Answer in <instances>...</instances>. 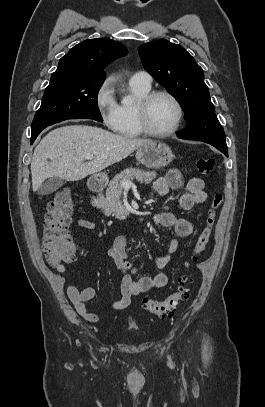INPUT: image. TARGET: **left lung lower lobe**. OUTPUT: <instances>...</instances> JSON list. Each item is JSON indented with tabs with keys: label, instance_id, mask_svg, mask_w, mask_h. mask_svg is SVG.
I'll list each match as a JSON object with an SVG mask.
<instances>
[{
	"label": "left lung lower lobe",
	"instance_id": "0a47b994",
	"mask_svg": "<svg viewBox=\"0 0 265 407\" xmlns=\"http://www.w3.org/2000/svg\"><path fill=\"white\" fill-rule=\"evenodd\" d=\"M218 150H220L221 152H223L226 156H228V151L226 152L225 150H223L222 148H220V147H216Z\"/></svg>",
	"mask_w": 265,
	"mask_h": 407
}]
</instances>
